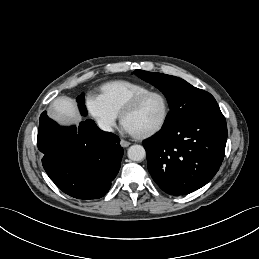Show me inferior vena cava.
<instances>
[{
    "label": "inferior vena cava",
    "mask_w": 259,
    "mask_h": 259,
    "mask_svg": "<svg viewBox=\"0 0 259 259\" xmlns=\"http://www.w3.org/2000/svg\"><path fill=\"white\" fill-rule=\"evenodd\" d=\"M98 126L103 131H108V132H112L113 131L111 125L108 122H106V121L99 120L98 121Z\"/></svg>",
    "instance_id": "1"
}]
</instances>
